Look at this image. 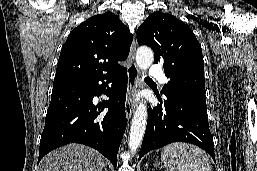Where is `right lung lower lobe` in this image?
<instances>
[{"label": "right lung lower lobe", "instance_id": "right-lung-lower-lobe-1", "mask_svg": "<svg viewBox=\"0 0 257 171\" xmlns=\"http://www.w3.org/2000/svg\"><path fill=\"white\" fill-rule=\"evenodd\" d=\"M126 91L127 70L122 66L111 74L89 81L53 86L38 163L53 149L81 143L98 150L116 168L118 149L127 125ZM102 92L109 100L94 106V96H100ZM105 108L108 111L105 112Z\"/></svg>", "mask_w": 257, "mask_h": 171}]
</instances>
